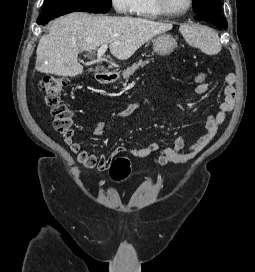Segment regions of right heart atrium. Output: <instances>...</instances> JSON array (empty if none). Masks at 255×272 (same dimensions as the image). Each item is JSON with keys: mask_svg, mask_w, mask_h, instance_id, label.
<instances>
[{"mask_svg": "<svg viewBox=\"0 0 255 272\" xmlns=\"http://www.w3.org/2000/svg\"><path fill=\"white\" fill-rule=\"evenodd\" d=\"M136 0H111L114 10L119 14H131L135 11Z\"/></svg>", "mask_w": 255, "mask_h": 272, "instance_id": "1", "label": "right heart atrium"}]
</instances>
